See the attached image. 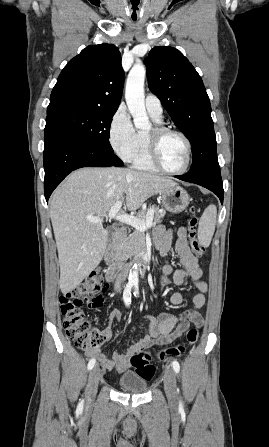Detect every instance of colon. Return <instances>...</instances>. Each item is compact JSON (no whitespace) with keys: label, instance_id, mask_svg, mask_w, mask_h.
Returning a JSON list of instances; mask_svg holds the SVG:
<instances>
[{"label":"colon","instance_id":"obj_1","mask_svg":"<svg viewBox=\"0 0 269 447\" xmlns=\"http://www.w3.org/2000/svg\"><path fill=\"white\" fill-rule=\"evenodd\" d=\"M191 213L193 215L188 222L190 248L196 256H203L205 249L196 239L198 218L195 214L197 209L191 207ZM103 284L104 278L99 273L93 272L77 287L65 292L59 298L63 327L74 345L80 349H98L103 342L101 332L91 326L87 314L82 311L85 304L90 310H96L101 306L100 295L103 292ZM197 337L198 329L195 328V325L191 326L186 331V342L193 344ZM185 352V343L159 349L156 352L139 350L131 356L130 363L140 378L151 380L156 375V366L150 362L153 357L163 360L168 357H179Z\"/></svg>","mask_w":269,"mask_h":447}]
</instances>
